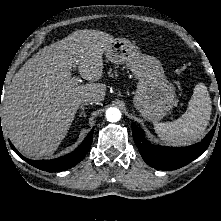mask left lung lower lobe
<instances>
[{"label": "left lung lower lobe", "instance_id": "left-lung-lower-lobe-1", "mask_svg": "<svg viewBox=\"0 0 221 221\" xmlns=\"http://www.w3.org/2000/svg\"><path fill=\"white\" fill-rule=\"evenodd\" d=\"M215 128L216 125L200 143L184 148H177L164 147L150 143L145 138L144 132L135 124H132L133 138L142 158L148 165L161 170H175L198 158L209 146Z\"/></svg>", "mask_w": 221, "mask_h": 221}]
</instances>
